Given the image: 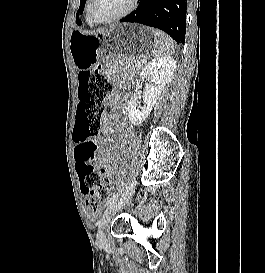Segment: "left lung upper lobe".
I'll return each mask as SVG.
<instances>
[{"instance_id":"left-lung-upper-lobe-1","label":"left lung upper lobe","mask_w":265,"mask_h":273,"mask_svg":"<svg viewBox=\"0 0 265 273\" xmlns=\"http://www.w3.org/2000/svg\"><path fill=\"white\" fill-rule=\"evenodd\" d=\"M85 2H86V0H80V7H79V10H78V12H77V16H78L79 14H82L83 9H84ZM77 24H78V25H81V21H78Z\"/></svg>"}]
</instances>
